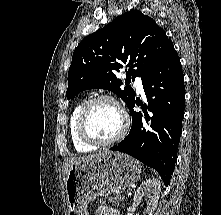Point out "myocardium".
I'll return each instance as SVG.
<instances>
[{
  "label": "myocardium",
  "instance_id": "1",
  "mask_svg": "<svg viewBox=\"0 0 221 215\" xmlns=\"http://www.w3.org/2000/svg\"><path fill=\"white\" fill-rule=\"evenodd\" d=\"M110 102L116 106V108L119 110L121 117H122V126L119 132L112 138L110 139H99L95 136H93L89 131L87 127V122H88V117L90 114L91 109L93 106H95L99 102ZM129 117L127 115V112L125 109L122 107V105L113 97L110 95H99L96 97H93L89 100H87L81 107L78 117H77V132L80 137V139L95 147H102V146H109L112 144L117 143L120 141L126 133L128 132L129 129Z\"/></svg>",
  "mask_w": 221,
  "mask_h": 215
}]
</instances>
